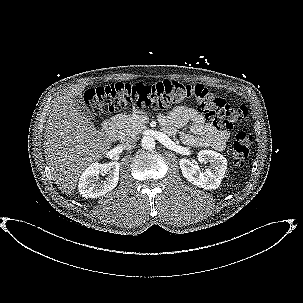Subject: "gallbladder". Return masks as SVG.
<instances>
[{
    "label": "gallbladder",
    "instance_id": "obj_1",
    "mask_svg": "<svg viewBox=\"0 0 303 303\" xmlns=\"http://www.w3.org/2000/svg\"><path fill=\"white\" fill-rule=\"evenodd\" d=\"M81 97L82 96L75 97V107L83 116H85L87 118H92V115H91L87 105L85 104V102L83 101V99Z\"/></svg>",
    "mask_w": 303,
    "mask_h": 303
}]
</instances>
